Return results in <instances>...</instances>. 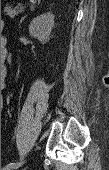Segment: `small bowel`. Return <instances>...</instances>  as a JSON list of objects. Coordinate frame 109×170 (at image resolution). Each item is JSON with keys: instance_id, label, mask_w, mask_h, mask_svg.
<instances>
[{"instance_id": "small-bowel-1", "label": "small bowel", "mask_w": 109, "mask_h": 170, "mask_svg": "<svg viewBox=\"0 0 109 170\" xmlns=\"http://www.w3.org/2000/svg\"><path fill=\"white\" fill-rule=\"evenodd\" d=\"M1 44H2L3 46H5V45H6V40H5V39H1Z\"/></svg>"}]
</instances>
